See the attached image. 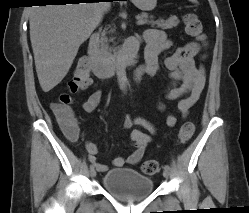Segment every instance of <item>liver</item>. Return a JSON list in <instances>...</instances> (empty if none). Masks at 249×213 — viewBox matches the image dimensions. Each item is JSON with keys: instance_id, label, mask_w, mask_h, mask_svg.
I'll use <instances>...</instances> for the list:
<instances>
[{"instance_id": "obj_1", "label": "liver", "mask_w": 249, "mask_h": 213, "mask_svg": "<svg viewBox=\"0 0 249 213\" xmlns=\"http://www.w3.org/2000/svg\"><path fill=\"white\" fill-rule=\"evenodd\" d=\"M111 7L110 2L33 6L30 41L40 86L49 92L67 75L80 45Z\"/></svg>"}]
</instances>
